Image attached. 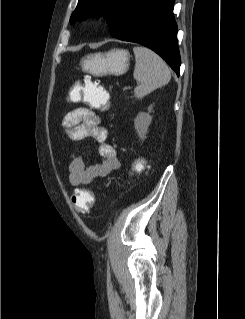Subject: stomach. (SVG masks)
Masks as SVG:
<instances>
[{
    "label": "stomach",
    "instance_id": "obj_1",
    "mask_svg": "<svg viewBox=\"0 0 245 319\" xmlns=\"http://www.w3.org/2000/svg\"><path fill=\"white\" fill-rule=\"evenodd\" d=\"M82 69L95 76L122 75L129 68V52L112 49L105 53L89 54L81 60Z\"/></svg>",
    "mask_w": 245,
    "mask_h": 319
}]
</instances>
